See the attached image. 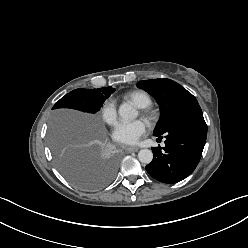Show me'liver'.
<instances>
[{"mask_svg": "<svg viewBox=\"0 0 248 248\" xmlns=\"http://www.w3.org/2000/svg\"><path fill=\"white\" fill-rule=\"evenodd\" d=\"M81 123H90V121L81 117L68 115V122H66L65 124L58 125V129L62 131H70L73 130L75 126ZM52 131L53 130H51V133ZM88 133L91 138L97 136V133L94 131L92 126H89Z\"/></svg>", "mask_w": 248, "mask_h": 248, "instance_id": "liver-1", "label": "liver"}]
</instances>
